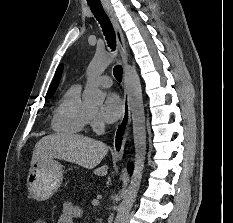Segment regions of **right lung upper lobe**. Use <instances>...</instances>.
<instances>
[{"label": "right lung upper lobe", "instance_id": "obj_1", "mask_svg": "<svg viewBox=\"0 0 233 223\" xmlns=\"http://www.w3.org/2000/svg\"><path fill=\"white\" fill-rule=\"evenodd\" d=\"M61 72H62V65H60L56 70L54 79L49 87L48 92H47V98H49L54 93L55 89L57 88L60 77H61Z\"/></svg>", "mask_w": 233, "mask_h": 223}]
</instances>
